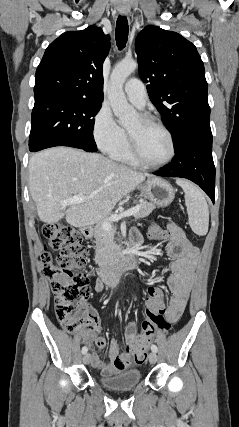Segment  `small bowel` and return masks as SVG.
<instances>
[{
    "label": "small bowel",
    "mask_w": 239,
    "mask_h": 427,
    "mask_svg": "<svg viewBox=\"0 0 239 427\" xmlns=\"http://www.w3.org/2000/svg\"><path fill=\"white\" fill-rule=\"evenodd\" d=\"M169 236L167 253L173 260L172 273L167 278V285L172 293L168 306L165 308V317L169 324H175L181 317L189 297L193 284L194 271L198 259L197 248L187 239L184 231L175 224H170L166 231ZM132 243L140 247L142 244L141 234L133 230L131 232ZM95 289L101 293L104 289V281L98 279ZM92 318L95 332H100V318L92 310H88ZM137 327L134 322L126 325L124 339L126 344L131 348L136 341ZM94 344L97 348H104L106 341L102 337H95ZM109 362L102 360L96 353L91 356V364L99 369L103 375L110 376L128 369L132 364V356L129 352H120L116 339H111L108 351Z\"/></svg>",
    "instance_id": "obj_1"
}]
</instances>
